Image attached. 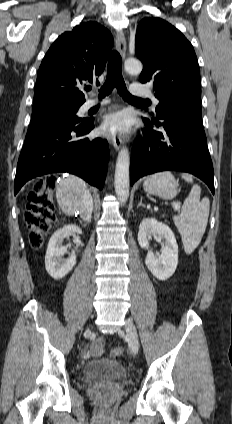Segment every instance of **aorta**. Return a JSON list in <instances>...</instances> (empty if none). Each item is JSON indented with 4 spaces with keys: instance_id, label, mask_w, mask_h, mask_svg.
Returning a JSON list of instances; mask_svg holds the SVG:
<instances>
[{
    "instance_id": "762f6f07",
    "label": "aorta",
    "mask_w": 232,
    "mask_h": 424,
    "mask_svg": "<svg viewBox=\"0 0 232 424\" xmlns=\"http://www.w3.org/2000/svg\"><path fill=\"white\" fill-rule=\"evenodd\" d=\"M124 66L128 73L134 75L140 74L143 69L142 63L133 58L127 59ZM129 165V150L123 147L118 153L114 179L116 196L122 204H125L129 197Z\"/></svg>"
}]
</instances>
